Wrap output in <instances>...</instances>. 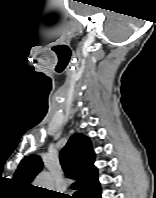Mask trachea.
Segmentation results:
<instances>
[{"mask_svg": "<svg viewBox=\"0 0 156 198\" xmlns=\"http://www.w3.org/2000/svg\"><path fill=\"white\" fill-rule=\"evenodd\" d=\"M83 193L81 191H77L74 193L73 198H82Z\"/></svg>", "mask_w": 156, "mask_h": 198, "instance_id": "1", "label": "trachea"}]
</instances>
